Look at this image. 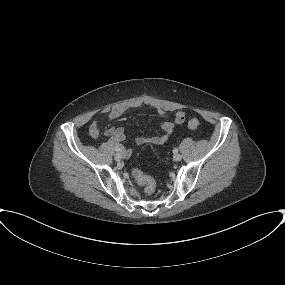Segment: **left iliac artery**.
<instances>
[{"label": "left iliac artery", "mask_w": 285, "mask_h": 285, "mask_svg": "<svg viewBox=\"0 0 285 285\" xmlns=\"http://www.w3.org/2000/svg\"><path fill=\"white\" fill-rule=\"evenodd\" d=\"M173 153H174V154H175V153H178V149L175 148V149L173 150Z\"/></svg>", "instance_id": "obj_1"}]
</instances>
